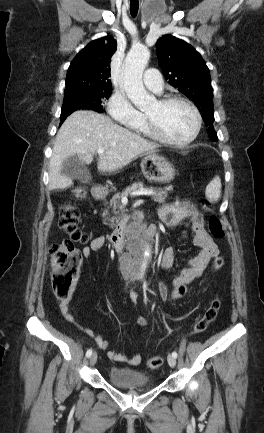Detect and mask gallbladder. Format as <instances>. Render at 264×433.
I'll list each match as a JSON object with an SVG mask.
<instances>
[{"label": "gallbladder", "mask_w": 264, "mask_h": 433, "mask_svg": "<svg viewBox=\"0 0 264 433\" xmlns=\"http://www.w3.org/2000/svg\"><path fill=\"white\" fill-rule=\"evenodd\" d=\"M61 173L69 179L79 180L82 183H89L91 181V175L88 169L76 155L70 156L64 160Z\"/></svg>", "instance_id": "obj_1"}]
</instances>
